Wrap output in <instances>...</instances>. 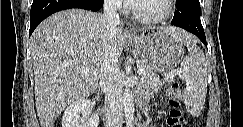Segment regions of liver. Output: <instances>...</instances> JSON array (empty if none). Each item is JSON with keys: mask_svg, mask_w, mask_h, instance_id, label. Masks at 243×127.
I'll return each instance as SVG.
<instances>
[{"mask_svg": "<svg viewBox=\"0 0 243 127\" xmlns=\"http://www.w3.org/2000/svg\"><path fill=\"white\" fill-rule=\"evenodd\" d=\"M162 28L190 36L179 28ZM125 40L122 29L111 30L103 15L83 9L57 12L36 28L31 55L41 127H54L66 106L95 92L107 49L113 48L119 57Z\"/></svg>", "mask_w": 243, "mask_h": 127, "instance_id": "obj_1", "label": "liver"}]
</instances>
